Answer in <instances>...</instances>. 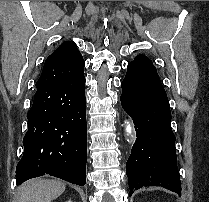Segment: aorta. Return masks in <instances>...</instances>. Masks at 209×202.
I'll return each instance as SVG.
<instances>
[{
    "instance_id": "aorta-1",
    "label": "aorta",
    "mask_w": 209,
    "mask_h": 202,
    "mask_svg": "<svg viewBox=\"0 0 209 202\" xmlns=\"http://www.w3.org/2000/svg\"><path fill=\"white\" fill-rule=\"evenodd\" d=\"M132 131H133V128H132L131 124L129 122H127V125H126V133H127V135H131Z\"/></svg>"
}]
</instances>
